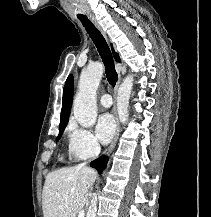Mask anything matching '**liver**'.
Listing matches in <instances>:
<instances>
[{"label": "liver", "mask_w": 211, "mask_h": 217, "mask_svg": "<svg viewBox=\"0 0 211 217\" xmlns=\"http://www.w3.org/2000/svg\"><path fill=\"white\" fill-rule=\"evenodd\" d=\"M96 176L94 169L80 165L50 172L42 193L44 217H76Z\"/></svg>", "instance_id": "1"}]
</instances>
